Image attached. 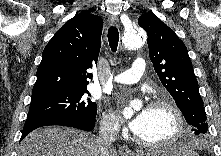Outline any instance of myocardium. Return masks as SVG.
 I'll return each instance as SVG.
<instances>
[{"label": "myocardium", "instance_id": "obj_1", "mask_svg": "<svg viewBox=\"0 0 221 156\" xmlns=\"http://www.w3.org/2000/svg\"><path fill=\"white\" fill-rule=\"evenodd\" d=\"M151 107H161L168 109L174 116L175 119V129L173 133L166 139L159 140V141H147L142 139L135 133L134 138L135 140L142 146L148 148H158L170 145L176 142L184 132L185 128V119L183 116L182 111L180 108L169 99H159L152 103Z\"/></svg>", "mask_w": 221, "mask_h": 156}]
</instances>
